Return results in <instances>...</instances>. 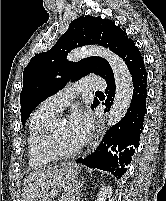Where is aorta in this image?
<instances>
[{"instance_id":"aorta-1","label":"aorta","mask_w":166,"mask_h":201,"mask_svg":"<svg viewBox=\"0 0 166 201\" xmlns=\"http://www.w3.org/2000/svg\"><path fill=\"white\" fill-rule=\"evenodd\" d=\"M90 56L103 57L109 62L113 71L116 90L113 104L107 115V127H111L122 120L131 104L133 96L132 77L123 59L104 47L86 46L76 49L69 54L68 59L79 61Z\"/></svg>"}]
</instances>
